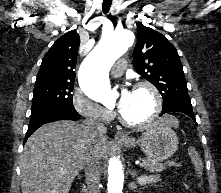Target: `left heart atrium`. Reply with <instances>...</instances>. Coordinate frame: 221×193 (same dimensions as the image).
<instances>
[{
	"label": "left heart atrium",
	"mask_w": 221,
	"mask_h": 193,
	"mask_svg": "<svg viewBox=\"0 0 221 193\" xmlns=\"http://www.w3.org/2000/svg\"><path fill=\"white\" fill-rule=\"evenodd\" d=\"M131 90L128 88H123L120 92L119 100H118V107L121 110L125 108L127 105L128 101L130 100L131 97Z\"/></svg>",
	"instance_id": "left-heart-atrium-1"
}]
</instances>
